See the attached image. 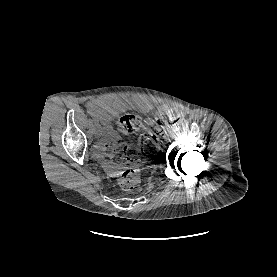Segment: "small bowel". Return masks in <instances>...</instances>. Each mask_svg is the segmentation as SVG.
I'll use <instances>...</instances> for the list:
<instances>
[{"label": "small bowel", "mask_w": 277, "mask_h": 277, "mask_svg": "<svg viewBox=\"0 0 277 277\" xmlns=\"http://www.w3.org/2000/svg\"><path fill=\"white\" fill-rule=\"evenodd\" d=\"M121 101H111L108 99H93L87 103V110L89 114L95 120L97 127L102 129V133L110 135V127L113 117L121 110L122 108ZM139 108L142 111H148L155 108L158 114H167L173 111L172 107L169 105L163 104L158 106H153L148 103L140 102ZM148 124L153 123V119H148ZM99 153L103 155V143H100L98 146ZM115 164L110 162H105L104 166L110 174H116Z\"/></svg>", "instance_id": "small-bowel-1"}]
</instances>
